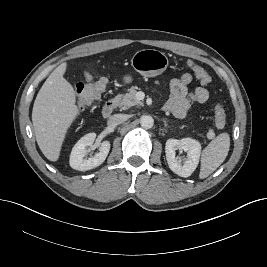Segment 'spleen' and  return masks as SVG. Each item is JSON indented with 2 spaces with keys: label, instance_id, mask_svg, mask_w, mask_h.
<instances>
[{
  "label": "spleen",
  "instance_id": "1",
  "mask_svg": "<svg viewBox=\"0 0 267 267\" xmlns=\"http://www.w3.org/2000/svg\"><path fill=\"white\" fill-rule=\"evenodd\" d=\"M230 148L228 133H221L202 152L199 178L212 174L226 159Z\"/></svg>",
  "mask_w": 267,
  "mask_h": 267
}]
</instances>
